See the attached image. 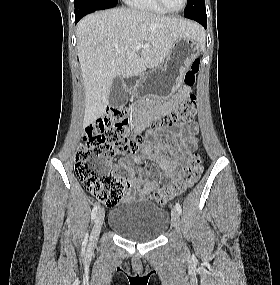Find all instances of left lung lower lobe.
Wrapping results in <instances>:
<instances>
[{
	"label": "left lung lower lobe",
	"instance_id": "left-lung-lower-lobe-1",
	"mask_svg": "<svg viewBox=\"0 0 280 285\" xmlns=\"http://www.w3.org/2000/svg\"><path fill=\"white\" fill-rule=\"evenodd\" d=\"M188 18L199 22L201 25H203L206 28L207 25L206 13L190 15Z\"/></svg>",
	"mask_w": 280,
	"mask_h": 285
}]
</instances>
